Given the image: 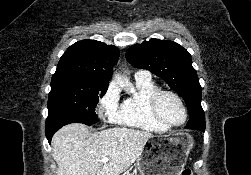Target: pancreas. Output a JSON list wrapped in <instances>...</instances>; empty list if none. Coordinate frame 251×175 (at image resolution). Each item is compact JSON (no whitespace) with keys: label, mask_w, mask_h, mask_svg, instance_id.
I'll use <instances>...</instances> for the list:
<instances>
[{"label":"pancreas","mask_w":251,"mask_h":175,"mask_svg":"<svg viewBox=\"0 0 251 175\" xmlns=\"http://www.w3.org/2000/svg\"><path fill=\"white\" fill-rule=\"evenodd\" d=\"M123 175H137L136 171H132V173H130V171H124Z\"/></svg>","instance_id":"cf45deb5"}]
</instances>
